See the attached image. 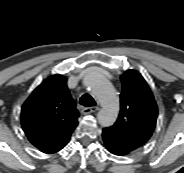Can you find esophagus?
Wrapping results in <instances>:
<instances>
[{
    "instance_id": "34e87169",
    "label": "esophagus",
    "mask_w": 184,
    "mask_h": 173,
    "mask_svg": "<svg viewBox=\"0 0 184 173\" xmlns=\"http://www.w3.org/2000/svg\"><path fill=\"white\" fill-rule=\"evenodd\" d=\"M99 108L97 106H93V107H84L82 108L81 112L82 114L86 115V114H90V113H94L98 110Z\"/></svg>"
}]
</instances>
